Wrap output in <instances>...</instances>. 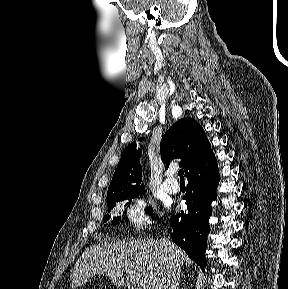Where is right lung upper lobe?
<instances>
[{"instance_id":"right-lung-upper-lobe-1","label":"right lung upper lobe","mask_w":288,"mask_h":289,"mask_svg":"<svg viewBox=\"0 0 288 289\" xmlns=\"http://www.w3.org/2000/svg\"><path fill=\"white\" fill-rule=\"evenodd\" d=\"M140 138L139 141H142ZM161 159L169 166V161L181 158V166L187 175L206 158L213 154L203 128L192 118H184L164 134L160 143ZM141 149H136V142L130 144L123 152L114 172L108 192L137 189L144 187L140 165Z\"/></svg>"}]
</instances>
